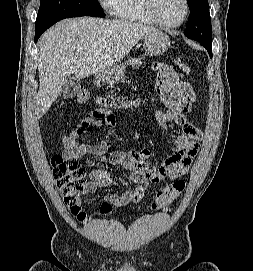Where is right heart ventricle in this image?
<instances>
[{
  "mask_svg": "<svg viewBox=\"0 0 253 271\" xmlns=\"http://www.w3.org/2000/svg\"><path fill=\"white\" fill-rule=\"evenodd\" d=\"M114 14L125 21L156 25L146 8L145 0H118Z\"/></svg>",
  "mask_w": 253,
  "mask_h": 271,
  "instance_id": "obj_1",
  "label": "right heart ventricle"
}]
</instances>
